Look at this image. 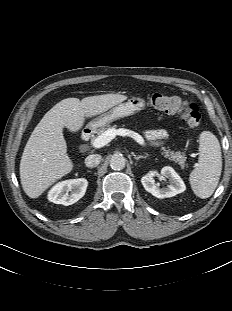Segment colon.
Segmentation results:
<instances>
[{
	"mask_svg": "<svg viewBox=\"0 0 232 311\" xmlns=\"http://www.w3.org/2000/svg\"><path fill=\"white\" fill-rule=\"evenodd\" d=\"M150 104L164 113L179 114L190 127H196L200 123L201 114L195 103L183 101L175 96L155 93L150 97Z\"/></svg>",
	"mask_w": 232,
	"mask_h": 311,
	"instance_id": "obj_1",
	"label": "colon"
}]
</instances>
